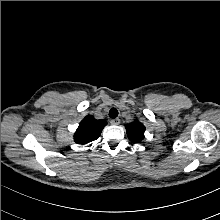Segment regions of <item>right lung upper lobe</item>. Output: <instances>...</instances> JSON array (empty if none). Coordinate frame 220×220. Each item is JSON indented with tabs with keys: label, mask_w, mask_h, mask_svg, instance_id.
<instances>
[{
	"label": "right lung upper lobe",
	"mask_w": 220,
	"mask_h": 220,
	"mask_svg": "<svg viewBox=\"0 0 220 220\" xmlns=\"http://www.w3.org/2000/svg\"><path fill=\"white\" fill-rule=\"evenodd\" d=\"M106 124L107 122L105 120H96L92 115H87L80 122L74 134L75 142L78 144H87L96 140Z\"/></svg>",
	"instance_id": "obj_1"
}]
</instances>
